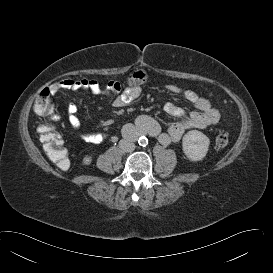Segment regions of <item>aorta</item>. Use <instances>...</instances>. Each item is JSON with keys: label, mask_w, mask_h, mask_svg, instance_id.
I'll return each instance as SVG.
<instances>
[{"label": "aorta", "mask_w": 273, "mask_h": 273, "mask_svg": "<svg viewBox=\"0 0 273 273\" xmlns=\"http://www.w3.org/2000/svg\"><path fill=\"white\" fill-rule=\"evenodd\" d=\"M139 142H140V143H143V142H144V140H143V139H140V140H139Z\"/></svg>", "instance_id": "aorta-1"}]
</instances>
